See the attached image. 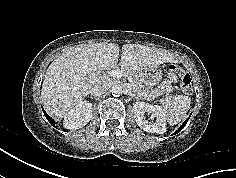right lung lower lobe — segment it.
Segmentation results:
<instances>
[{"instance_id":"obj_1","label":"right lung lower lobe","mask_w":236,"mask_h":178,"mask_svg":"<svg viewBox=\"0 0 236 178\" xmlns=\"http://www.w3.org/2000/svg\"><path fill=\"white\" fill-rule=\"evenodd\" d=\"M43 112L47 120L50 122V124L54 126V120L44 111V109H43Z\"/></svg>"}]
</instances>
